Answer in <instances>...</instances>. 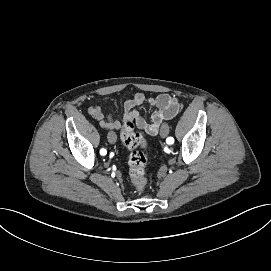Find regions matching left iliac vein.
Listing matches in <instances>:
<instances>
[{
	"label": "left iliac vein",
	"instance_id": "obj_1",
	"mask_svg": "<svg viewBox=\"0 0 271 271\" xmlns=\"http://www.w3.org/2000/svg\"><path fill=\"white\" fill-rule=\"evenodd\" d=\"M169 132V128L167 125H162L161 129H160V135L162 137H166L168 135Z\"/></svg>",
	"mask_w": 271,
	"mask_h": 271
}]
</instances>
